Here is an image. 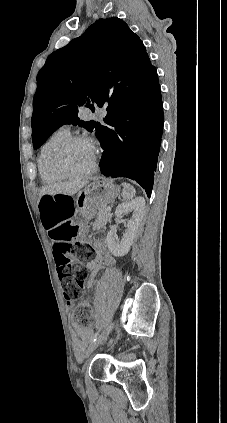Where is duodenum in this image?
<instances>
[{"instance_id":"410a0bca","label":"duodenum","mask_w":227,"mask_h":423,"mask_svg":"<svg viewBox=\"0 0 227 423\" xmlns=\"http://www.w3.org/2000/svg\"><path fill=\"white\" fill-rule=\"evenodd\" d=\"M98 243L103 244L104 242H103V241H101V240H99V241H97V242H96L95 246H98Z\"/></svg>"}]
</instances>
